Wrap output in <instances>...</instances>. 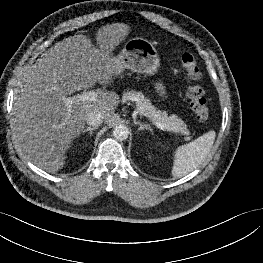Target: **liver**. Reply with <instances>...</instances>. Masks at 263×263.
<instances>
[{
    "label": "liver",
    "mask_w": 263,
    "mask_h": 263,
    "mask_svg": "<svg viewBox=\"0 0 263 263\" xmlns=\"http://www.w3.org/2000/svg\"><path fill=\"white\" fill-rule=\"evenodd\" d=\"M129 32L127 24H108L96 33L99 47L85 35L70 36L43 53L26 73L15 90L12 130L16 147L34 165L49 173L62 169L90 111L99 110L106 122L112 120L119 104L113 91H101L93 101L68 99L97 82L111 85L117 75L112 51Z\"/></svg>",
    "instance_id": "obj_1"
}]
</instances>
